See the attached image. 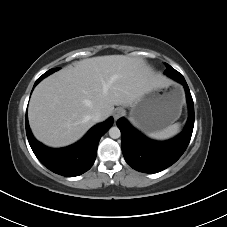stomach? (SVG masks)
<instances>
[{
  "label": "stomach",
  "instance_id": "obj_1",
  "mask_svg": "<svg viewBox=\"0 0 227 227\" xmlns=\"http://www.w3.org/2000/svg\"><path fill=\"white\" fill-rule=\"evenodd\" d=\"M183 99L179 87L151 89L132 105L129 119L145 132L162 130L180 116Z\"/></svg>",
  "mask_w": 227,
  "mask_h": 227
}]
</instances>
